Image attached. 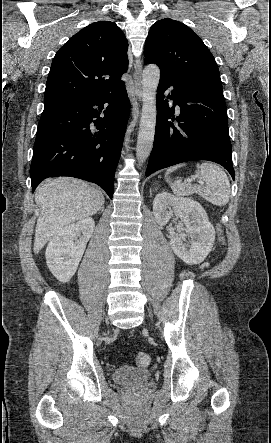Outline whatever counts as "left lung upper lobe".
<instances>
[{
	"label": "left lung upper lobe",
	"mask_w": 271,
	"mask_h": 443,
	"mask_svg": "<svg viewBox=\"0 0 271 443\" xmlns=\"http://www.w3.org/2000/svg\"><path fill=\"white\" fill-rule=\"evenodd\" d=\"M145 58L159 68L221 83L209 49L189 27L176 20L165 18L152 25L145 42Z\"/></svg>",
	"instance_id": "5c2ea615"
}]
</instances>
